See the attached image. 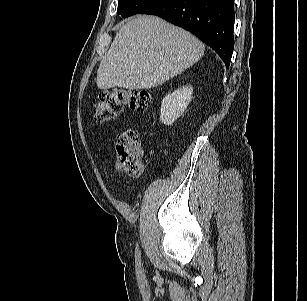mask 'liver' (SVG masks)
Masks as SVG:
<instances>
[{"label": "liver", "mask_w": 307, "mask_h": 301, "mask_svg": "<svg viewBox=\"0 0 307 301\" xmlns=\"http://www.w3.org/2000/svg\"><path fill=\"white\" fill-rule=\"evenodd\" d=\"M204 51L205 45L184 29L159 17L138 15L117 32L99 65L97 87H156L193 65Z\"/></svg>", "instance_id": "liver-1"}]
</instances>
